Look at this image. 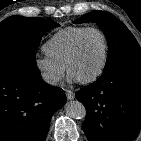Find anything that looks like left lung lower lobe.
Wrapping results in <instances>:
<instances>
[{
	"mask_svg": "<svg viewBox=\"0 0 141 141\" xmlns=\"http://www.w3.org/2000/svg\"><path fill=\"white\" fill-rule=\"evenodd\" d=\"M89 141H132L141 127V66L120 67L76 92Z\"/></svg>",
	"mask_w": 141,
	"mask_h": 141,
	"instance_id": "obj_1",
	"label": "left lung lower lobe"
}]
</instances>
